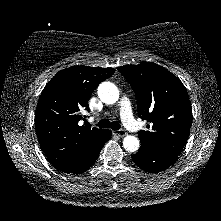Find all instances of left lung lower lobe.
Segmentation results:
<instances>
[{"label": "left lung lower lobe", "instance_id": "left-lung-lower-lobe-1", "mask_svg": "<svg viewBox=\"0 0 221 221\" xmlns=\"http://www.w3.org/2000/svg\"><path fill=\"white\" fill-rule=\"evenodd\" d=\"M131 157L138 167L151 173L167 169L178 159V155L151 151L142 147L138 153L133 154Z\"/></svg>", "mask_w": 221, "mask_h": 221}]
</instances>
